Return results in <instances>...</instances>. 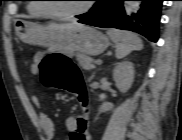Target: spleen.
I'll list each match as a JSON object with an SVG mask.
<instances>
[{"instance_id":"obj_1","label":"spleen","mask_w":182,"mask_h":140,"mask_svg":"<svg viewBox=\"0 0 182 140\" xmlns=\"http://www.w3.org/2000/svg\"><path fill=\"white\" fill-rule=\"evenodd\" d=\"M107 34L115 43V55L117 59H122L132 51L143 48L142 40L132 32L110 29L107 31Z\"/></svg>"}]
</instances>
